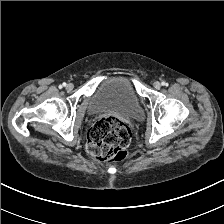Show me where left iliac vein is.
I'll use <instances>...</instances> for the list:
<instances>
[{
    "label": "left iliac vein",
    "instance_id": "left-iliac-vein-1",
    "mask_svg": "<svg viewBox=\"0 0 224 224\" xmlns=\"http://www.w3.org/2000/svg\"><path fill=\"white\" fill-rule=\"evenodd\" d=\"M153 86H154L155 89H160V88H161V83L158 82V81H155V82L153 83Z\"/></svg>",
    "mask_w": 224,
    "mask_h": 224
}]
</instances>
